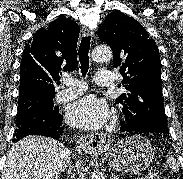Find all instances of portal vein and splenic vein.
Returning <instances> with one entry per match:
<instances>
[{"label": "portal vein and splenic vein", "instance_id": "portal-vein-and-splenic-vein-1", "mask_svg": "<svg viewBox=\"0 0 183 179\" xmlns=\"http://www.w3.org/2000/svg\"><path fill=\"white\" fill-rule=\"evenodd\" d=\"M148 176L140 177L139 179H147Z\"/></svg>", "mask_w": 183, "mask_h": 179}]
</instances>
